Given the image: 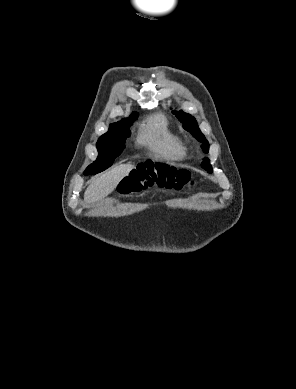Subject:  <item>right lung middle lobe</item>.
<instances>
[{"label": "right lung middle lobe", "instance_id": "1", "mask_svg": "<svg viewBox=\"0 0 296 389\" xmlns=\"http://www.w3.org/2000/svg\"><path fill=\"white\" fill-rule=\"evenodd\" d=\"M137 116V113H133L129 119H123L110 125L109 131L102 135L97 142L99 155L97 161L87 168L88 170L99 173L112 165L114 159L125 148V140L131 135L128 127Z\"/></svg>", "mask_w": 296, "mask_h": 389}]
</instances>
